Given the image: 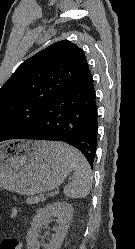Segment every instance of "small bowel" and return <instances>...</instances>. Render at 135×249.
<instances>
[{
    "label": "small bowel",
    "mask_w": 135,
    "mask_h": 249,
    "mask_svg": "<svg viewBox=\"0 0 135 249\" xmlns=\"http://www.w3.org/2000/svg\"><path fill=\"white\" fill-rule=\"evenodd\" d=\"M16 214V210H13L12 211V215L14 216Z\"/></svg>",
    "instance_id": "small-bowel-1"
}]
</instances>
